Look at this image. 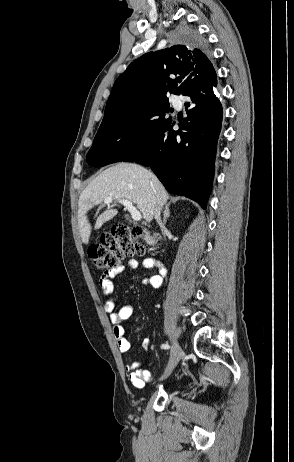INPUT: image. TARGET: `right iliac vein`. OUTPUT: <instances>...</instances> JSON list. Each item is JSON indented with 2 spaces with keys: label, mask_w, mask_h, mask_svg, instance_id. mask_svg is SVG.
Wrapping results in <instances>:
<instances>
[{
  "label": "right iliac vein",
  "mask_w": 294,
  "mask_h": 462,
  "mask_svg": "<svg viewBox=\"0 0 294 462\" xmlns=\"http://www.w3.org/2000/svg\"><path fill=\"white\" fill-rule=\"evenodd\" d=\"M181 357H182L181 346L177 341H175L174 344H173L172 350H171V356H170V360H169V363H168L167 374H166V376H164V378L167 377L169 374H171V372L174 370V368L178 364Z\"/></svg>",
  "instance_id": "obj_1"
}]
</instances>
